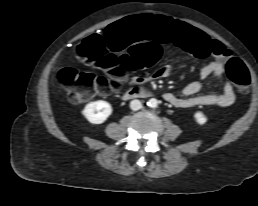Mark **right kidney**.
<instances>
[{
  "mask_svg": "<svg viewBox=\"0 0 258 206\" xmlns=\"http://www.w3.org/2000/svg\"><path fill=\"white\" fill-rule=\"evenodd\" d=\"M112 112L111 104L103 100L90 102L82 110V114L92 124L105 122Z\"/></svg>",
  "mask_w": 258,
  "mask_h": 206,
  "instance_id": "ca27d5eb",
  "label": "right kidney"
}]
</instances>
